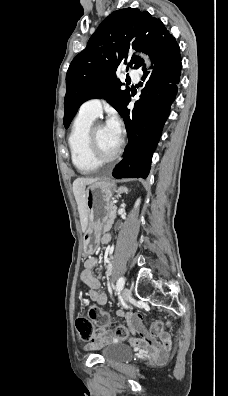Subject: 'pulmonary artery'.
<instances>
[{"instance_id":"1","label":"pulmonary artery","mask_w":228,"mask_h":396,"mask_svg":"<svg viewBox=\"0 0 228 396\" xmlns=\"http://www.w3.org/2000/svg\"><path fill=\"white\" fill-rule=\"evenodd\" d=\"M129 76L131 80L135 83H138L140 80L139 72L137 70H130L129 71ZM102 110V104L101 100L98 98H92L84 102L81 107L79 112L84 115H88L91 117H97L100 115Z\"/></svg>"}]
</instances>
